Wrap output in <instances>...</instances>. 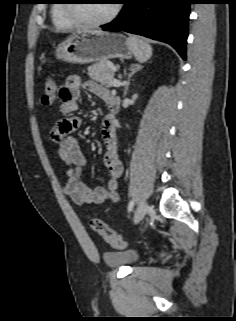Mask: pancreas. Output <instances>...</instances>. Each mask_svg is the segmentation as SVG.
<instances>
[{"label":"pancreas","instance_id":"cf45deb5","mask_svg":"<svg viewBox=\"0 0 236 321\" xmlns=\"http://www.w3.org/2000/svg\"><path fill=\"white\" fill-rule=\"evenodd\" d=\"M88 75L91 79L105 85L113 87L114 69L108 61H101L88 67Z\"/></svg>","mask_w":236,"mask_h":321}]
</instances>
